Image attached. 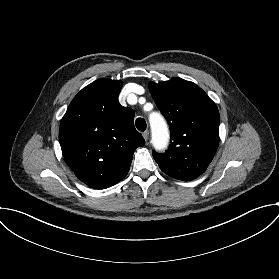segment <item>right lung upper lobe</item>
<instances>
[{
    "label": "right lung upper lobe",
    "instance_id": "right-lung-upper-lobe-1",
    "mask_svg": "<svg viewBox=\"0 0 279 279\" xmlns=\"http://www.w3.org/2000/svg\"><path fill=\"white\" fill-rule=\"evenodd\" d=\"M122 82L102 78L83 88L61 120L59 140L67 165L93 189L117 184L128 173L135 149L145 141L134 111L118 101Z\"/></svg>",
    "mask_w": 279,
    "mask_h": 279
}]
</instances>
